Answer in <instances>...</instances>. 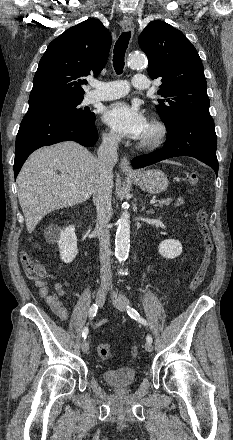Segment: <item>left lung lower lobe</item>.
I'll list each match as a JSON object with an SVG mask.
<instances>
[{"mask_svg": "<svg viewBox=\"0 0 233 440\" xmlns=\"http://www.w3.org/2000/svg\"><path fill=\"white\" fill-rule=\"evenodd\" d=\"M216 144L214 121L210 114L190 113L180 119L174 130L167 132V140L161 149L134 158L132 166L142 168L167 158L190 156L209 165L217 174Z\"/></svg>", "mask_w": 233, "mask_h": 440, "instance_id": "obj_1", "label": "left lung lower lobe"}]
</instances>
